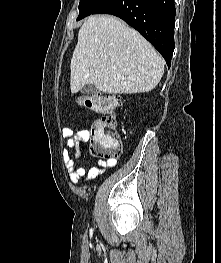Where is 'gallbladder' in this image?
Segmentation results:
<instances>
[{"instance_id": "1", "label": "gallbladder", "mask_w": 221, "mask_h": 263, "mask_svg": "<svg viewBox=\"0 0 221 263\" xmlns=\"http://www.w3.org/2000/svg\"><path fill=\"white\" fill-rule=\"evenodd\" d=\"M97 92V88L93 84H86L84 87L81 89V93L84 95H92Z\"/></svg>"}]
</instances>
